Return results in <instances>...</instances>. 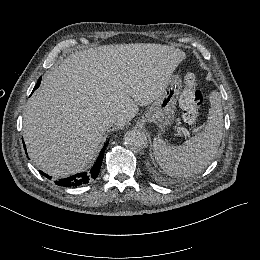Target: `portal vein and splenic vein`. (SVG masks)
Instances as JSON below:
<instances>
[{
    "label": "portal vein and splenic vein",
    "instance_id": "18ae733b",
    "mask_svg": "<svg viewBox=\"0 0 260 260\" xmlns=\"http://www.w3.org/2000/svg\"><path fill=\"white\" fill-rule=\"evenodd\" d=\"M178 133L184 134V135H189V131L183 126L178 128Z\"/></svg>",
    "mask_w": 260,
    "mask_h": 260
}]
</instances>
